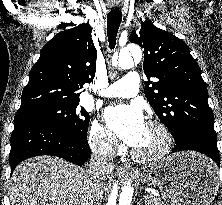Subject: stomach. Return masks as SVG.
Wrapping results in <instances>:
<instances>
[{
    "label": "stomach",
    "mask_w": 222,
    "mask_h": 205,
    "mask_svg": "<svg viewBox=\"0 0 222 205\" xmlns=\"http://www.w3.org/2000/svg\"><path fill=\"white\" fill-rule=\"evenodd\" d=\"M141 180L158 187L166 205H210L218 187L214 164L194 152L168 156L146 170Z\"/></svg>",
    "instance_id": "0dacf381"
}]
</instances>
